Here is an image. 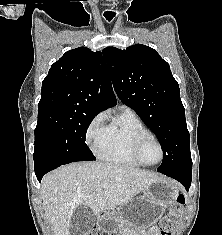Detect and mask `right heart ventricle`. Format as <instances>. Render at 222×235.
Here are the masks:
<instances>
[{
	"instance_id": "obj_1",
	"label": "right heart ventricle",
	"mask_w": 222,
	"mask_h": 235,
	"mask_svg": "<svg viewBox=\"0 0 222 235\" xmlns=\"http://www.w3.org/2000/svg\"><path fill=\"white\" fill-rule=\"evenodd\" d=\"M142 120L128 108H122L106 125L102 144L97 150L100 159L129 167H139L132 154L135 140L149 134Z\"/></svg>"
}]
</instances>
